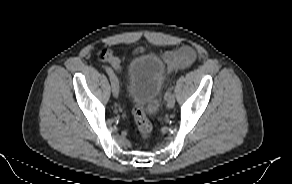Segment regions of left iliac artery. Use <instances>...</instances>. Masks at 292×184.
Listing matches in <instances>:
<instances>
[{
	"mask_svg": "<svg viewBox=\"0 0 292 184\" xmlns=\"http://www.w3.org/2000/svg\"><path fill=\"white\" fill-rule=\"evenodd\" d=\"M172 82H174V81L172 80ZM172 90H173V86H172V84H170L168 90L165 93V99L168 98V96H169V94L171 93Z\"/></svg>",
	"mask_w": 292,
	"mask_h": 184,
	"instance_id": "left-iliac-artery-1",
	"label": "left iliac artery"
}]
</instances>
